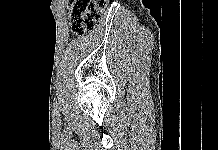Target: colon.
I'll return each instance as SVG.
<instances>
[{
	"label": "colon",
	"mask_w": 218,
	"mask_h": 150,
	"mask_svg": "<svg viewBox=\"0 0 218 150\" xmlns=\"http://www.w3.org/2000/svg\"><path fill=\"white\" fill-rule=\"evenodd\" d=\"M107 3L108 0H71L69 12L72 32L81 35L91 31Z\"/></svg>",
	"instance_id": "1"
}]
</instances>
